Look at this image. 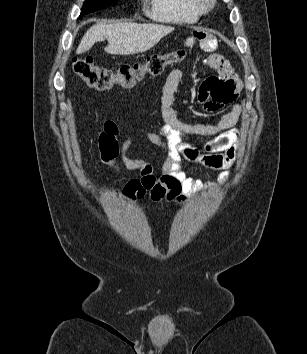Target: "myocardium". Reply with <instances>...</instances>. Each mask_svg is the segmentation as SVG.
Returning <instances> with one entry per match:
<instances>
[{"label": "myocardium", "instance_id": "myocardium-1", "mask_svg": "<svg viewBox=\"0 0 307 354\" xmlns=\"http://www.w3.org/2000/svg\"><path fill=\"white\" fill-rule=\"evenodd\" d=\"M193 4L197 12L201 15L213 9L215 0H193Z\"/></svg>", "mask_w": 307, "mask_h": 354}]
</instances>
